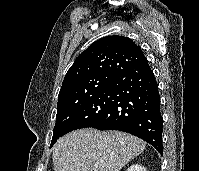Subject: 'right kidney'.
<instances>
[{"label": "right kidney", "mask_w": 199, "mask_h": 171, "mask_svg": "<svg viewBox=\"0 0 199 171\" xmlns=\"http://www.w3.org/2000/svg\"><path fill=\"white\" fill-rule=\"evenodd\" d=\"M126 171H147L141 164H133Z\"/></svg>", "instance_id": "obj_1"}]
</instances>
